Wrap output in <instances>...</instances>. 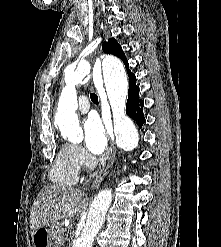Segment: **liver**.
I'll list each match as a JSON object with an SVG mask.
<instances>
[{
	"label": "liver",
	"instance_id": "1",
	"mask_svg": "<svg viewBox=\"0 0 221 247\" xmlns=\"http://www.w3.org/2000/svg\"><path fill=\"white\" fill-rule=\"evenodd\" d=\"M84 192L65 186H45L34 201L30 215L33 233L64 218L74 217L84 204Z\"/></svg>",
	"mask_w": 221,
	"mask_h": 247
}]
</instances>
